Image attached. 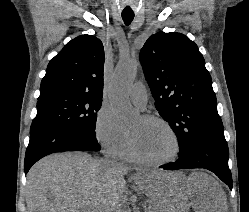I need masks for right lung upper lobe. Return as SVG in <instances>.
Wrapping results in <instances>:
<instances>
[{"instance_id": "obj_1", "label": "right lung upper lobe", "mask_w": 249, "mask_h": 212, "mask_svg": "<svg viewBox=\"0 0 249 212\" xmlns=\"http://www.w3.org/2000/svg\"><path fill=\"white\" fill-rule=\"evenodd\" d=\"M104 47L98 38L82 35L71 40L48 64L40 96L76 93L102 98Z\"/></svg>"}]
</instances>
